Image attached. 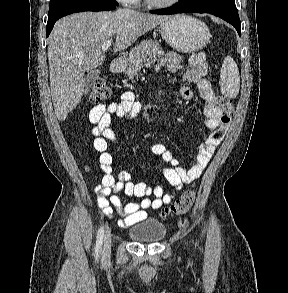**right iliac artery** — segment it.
Returning <instances> with one entry per match:
<instances>
[{
    "label": "right iliac artery",
    "instance_id": "obj_1",
    "mask_svg": "<svg viewBox=\"0 0 288 293\" xmlns=\"http://www.w3.org/2000/svg\"><path fill=\"white\" fill-rule=\"evenodd\" d=\"M103 237H104V229H103V227H101L98 231V234H97V241H96V246H95L96 259H98L99 253L101 251Z\"/></svg>",
    "mask_w": 288,
    "mask_h": 293
}]
</instances>
